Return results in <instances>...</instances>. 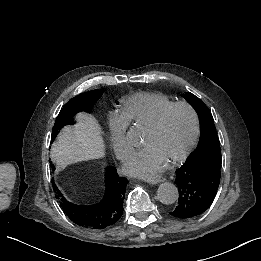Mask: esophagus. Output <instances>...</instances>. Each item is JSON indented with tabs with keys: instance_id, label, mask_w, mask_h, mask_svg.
<instances>
[{
	"instance_id": "esophagus-1",
	"label": "esophagus",
	"mask_w": 261,
	"mask_h": 261,
	"mask_svg": "<svg viewBox=\"0 0 261 261\" xmlns=\"http://www.w3.org/2000/svg\"><path fill=\"white\" fill-rule=\"evenodd\" d=\"M146 181L150 184H157L159 182L164 181V178L158 176V177H150V178H146Z\"/></svg>"
}]
</instances>
